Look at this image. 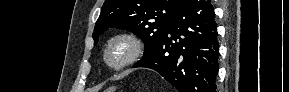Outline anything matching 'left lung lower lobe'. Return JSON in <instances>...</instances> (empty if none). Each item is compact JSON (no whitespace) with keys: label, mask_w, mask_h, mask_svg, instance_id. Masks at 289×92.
<instances>
[{"label":"left lung lower lobe","mask_w":289,"mask_h":92,"mask_svg":"<svg viewBox=\"0 0 289 92\" xmlns=\"http://www.w3.org/2000/svg\"><path fill=\"white\" fill-rule=\"evenodd\" d=\"M219 45L210 0H183L156 51L134 67L151 68L180 92H215Z\"/></svg>","instance_id":"left-lung-lower-lobe-1"}]
</instances>
